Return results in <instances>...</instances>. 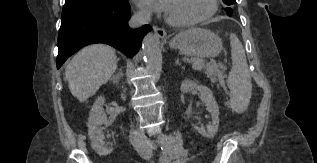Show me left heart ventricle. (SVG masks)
Listing matches in <instances>:
<instances>
[{
	"mask_svg": "<svg viewBox=\"0 0 317 163\" xmlns=\"http://www.w3.org/2000/svg\"><path fill=\"white\" fill-rule=\"evenodd\" d=\"M209 9V0H169L165 14L175 21H188L204 15Z\"/></svg>",
	"mask_w": 317,
	"mask_h": 163,
	"instance_id": "1",
	"label": "left heart ventricle"
}]
</instances>
